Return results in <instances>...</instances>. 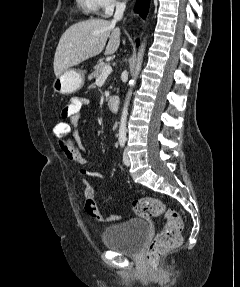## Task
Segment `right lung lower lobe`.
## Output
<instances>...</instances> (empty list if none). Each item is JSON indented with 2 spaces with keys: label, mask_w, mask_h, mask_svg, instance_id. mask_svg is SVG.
<instances>
[{
  "label": "right lung lower lobe",
  "mask_w": 240,
  "mask_h": 287,
  "mask_svg": "<svg viewBox=\"0 0 240 287\" xmlns=\"http://www.w3.org/2000/svg\"><path fill=\"white\" fill-rule=\"evenodd\" d=\"M149 2L150 0H137V4L135 7V11L144 18L149 9ZM137 46H139L140 41L136 40Z\"/></svg>",
  "instance_id": "right-lung-lower-lobe-1"
}]
</instances>
